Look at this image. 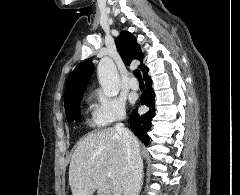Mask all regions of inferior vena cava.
Returning <instances> with one entry per match:
<instances>
[{
    "instance_id": "inferior-vena-cava-1",
    "label": "inferior vena cava",
    "mask_w": 240,
    "mask_h": 195,
    "mask_svg": "<svg viewBox=\"0 0 240 195\" xmlns=\"http://www.w3.org/2000/svg\"><path fill=\"white\" fill-rule=\"evenodd\" d=\"M124 117L125 115H122L121 119ZM115 129L128 151L129 175L125 183L124 195H138L143 171L138 139L124 127V123H118Z\"/></svg>"
}]
</instances>
